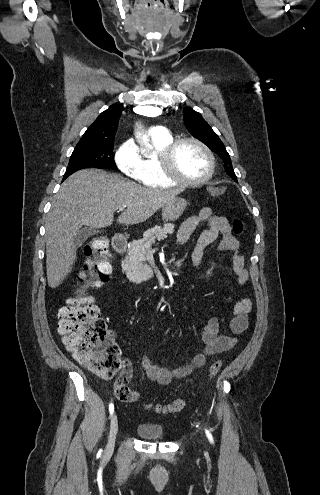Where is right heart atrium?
Listing matches in <instances>:
<instances>
[{"label": "right heart atrium", "instance_id": "obj_1", "mask_svg": "<svg viewBox=\"0 0 320 495\" xmlns=\"http://www.w3.org/2000/svg\"><path fill=\"white\" fill-rule=\"evenodd\" d=\"M115 162L122 173L133 180L142 182L141 157L132 140L124 141L115 153Z\"/></svg>", "mask_w": 320, "mask_h": 495}]
</instances>
